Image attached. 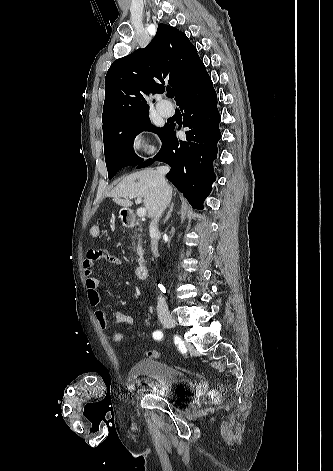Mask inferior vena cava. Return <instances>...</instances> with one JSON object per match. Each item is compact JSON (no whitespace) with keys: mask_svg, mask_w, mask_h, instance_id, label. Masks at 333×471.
<instances>
[{"mask_svg":"<svg viewBox=\"0 0 333 471\" xmlns=\"http://www.w3.org/2000/svg\"><path fill=\"white\" fill-rule=\"evenodd\" d=\"M169 166H161L157 169V173L159 176V181L161 185V195L160 199L158 201V204L156 206L155 210V216L153 220L150 223V237H151V250L153 252V255L155 257H158V236H159V230H158V221L159 218L161 217L163 211L165 208L168 206L171 200V192L170 188L166 182L165 175L169 171ZM157 312L158 313H167L168 312V306L166 303V300L164 297L159 296L158 297V302H157Z\"/></svg>","mask_w":333,"mask_h":471,"instance_id":"inferior-vena-cava-1","label":"inferior vena cava"}]
</instances>
